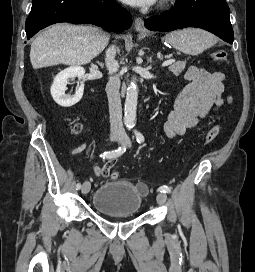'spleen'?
<instances>
[{
  "label": "spleen",
  "instance_id": "spleen-1",
  "mask_svg": "<svg viewBox=\"0 0 255 272\" xmlns=\"http://www.w3.org/2000/svg\"><path fill=\"white\" fill-rule=\"evenodd\" d=\"M165 41L185 54L198 55L213 46L216 38L205 30L187 28L168 33Z\"/></svg>",
  "mask_w": 255,
  "mask_h": 272
}]
</instances>
